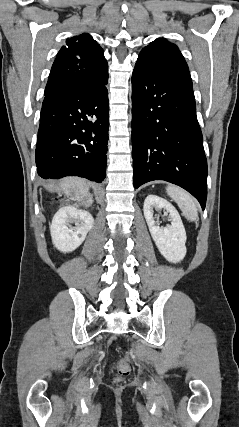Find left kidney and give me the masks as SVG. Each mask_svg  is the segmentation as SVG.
<instances>
[{"label":"left kidney","instance_id":"left-kidney-1","mask_svg":"<svg viewBox=\"0 0 239 427\" xmlns=\"http://www.w3.org/2000/svg\"><path fill=\"white\" fill-rule=\"evenodd\" d=\"M166 210L172 220L171 225L160 227L154 217V210ZM144 216L151 236L159 252L172 263L180 262L186 255V232L181 217L168 201L156 196L146 197L143 205Z\"/></svg>","mask_w":239,"mask_h":427}]
</instances>
